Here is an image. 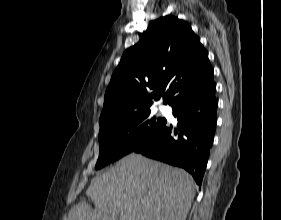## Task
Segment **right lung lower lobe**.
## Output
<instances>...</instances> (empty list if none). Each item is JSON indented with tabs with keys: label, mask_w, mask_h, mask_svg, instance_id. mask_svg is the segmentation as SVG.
<instances>
[{
	"label": "right lung lower lobe",
	"mask_w": 281,
	"mask_h": 220,
	"mask_svg": "<svg viewBox=\"0 0 281 220\" xmlns=\"http://www.w3.org/2000/svg\"><path fill=\"white\" fill-rule=\"evenodd\" d=\"M216 84L180 94L169 105L178 130L165 123L133 152L188 171L201 188L216 127Z\"/></svg>",
	"instance_id": "1"
}]
</instances>
